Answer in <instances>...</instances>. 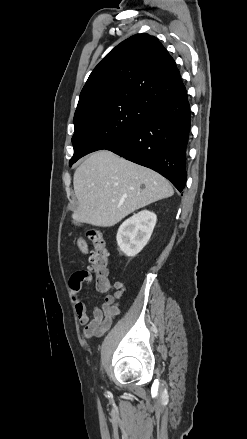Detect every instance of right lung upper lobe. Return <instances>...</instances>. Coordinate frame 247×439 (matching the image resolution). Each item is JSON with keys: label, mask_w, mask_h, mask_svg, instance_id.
I'll list each match as a JSON object with an SVG mask.
<instances>
[{"label": "right lung upper lobe", "mask_w": 247, "mask_h": 439, "mask_svg": "<svg viewBox=\"0 0 247 439\" xmlns=\"http://www.w3.org/2000/svg\"><path fill=\"white\" fill-rule=\"evenodd\" d=\"M186 92L176 63L159 40L136 34L117 45L95 67L83 87L75 114L114 100L149 109Z\"/></svg>", "instance_id": "obj_1"}]
</instances>
